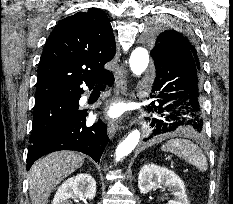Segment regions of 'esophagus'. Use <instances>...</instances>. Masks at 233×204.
Instances as JSON below:
<instances>
[{"mask_svg":"<svg viewBox=\"0 0 233 204\" xmlns=\"http://www.w3.org/2000/svg\"><path fill=\"white\" fill-rule=\"evenodd\" d=\"M115 94H116V101H120L123 99L124 96L127 95V71L126 69L121 66L120 70L116 74L115 77ZM119 128L118 121L111 120L108 123L107 133L110 139H112Z\"/></svg>","mask_w":233,"mask_h":204,"instance_id":"esophagus-1","label":"esophagus"}]
</instances>
